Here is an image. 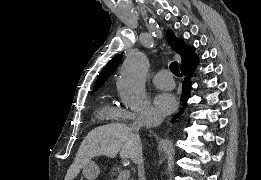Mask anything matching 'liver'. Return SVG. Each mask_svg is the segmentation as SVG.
Returning <instances> with one entry per match:
<instances>
[{
    "mask_svg": "<svg viewBox=\"0 0 261 180\" xmlns=\"http://www.w3.org/2000/svg\"><path fill=\"white\" fill-rule=\"evenodd\" d=\"M142 152L141 138L135 126L130 124H107L91 130L84 138L76 158L68 170L67 180H74L80 174L83 166L89 164L96 156L116 158L119 154L122 160L135 158Z\"/></svg>",
    "mask_w": 261,
    "mask_h": 180,
    "instance_id": "6515ba94",
    "label": "liver"
}]
</instances>
